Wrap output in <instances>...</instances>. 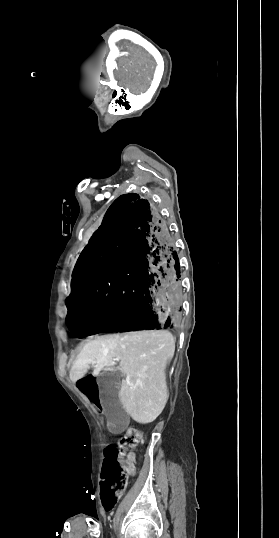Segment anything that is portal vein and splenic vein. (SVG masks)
Here are the masks:
<instances>
[{
    "instance_id": "1",
    "label": "portal vein and splenic vein",
    "mask_w": 279,
    "mask_h": 538,
    "mask_svg": "<svg viewBox=\"0 0 279 538\" xmlns=\"http://www.w3.org/2000/svg\"><path fill=\"white\" fill-rule=\"evenodd\" d=\"M115 360H117V362H119V358H115Z\"/></svg>"
}]
</instances>
